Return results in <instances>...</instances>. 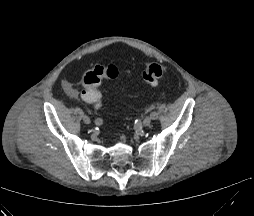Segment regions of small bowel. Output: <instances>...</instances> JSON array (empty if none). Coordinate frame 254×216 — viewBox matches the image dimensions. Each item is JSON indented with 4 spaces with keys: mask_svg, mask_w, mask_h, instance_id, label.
<instances>
[{
    "mask_svg": "<svg viewBox=\"0 0 254 216\" xmlns=\"http://www.w3.org/2000/svg\"><path fill=\"white\" fill-rule=\"evenodd\" d=\"M62 87H63L65 93L69 97H71V98L79 97L80 93H79L78 89L72 83H70L68 81H63ZM94 104L96 105V108H99L101 106V102L98 104H96V103H94Z\"/></svg>",
    "mask_w": 254,
    "mask_h": 216,
    "instance_id": "1",
    "label": "small bowel"
}]
</instances>
